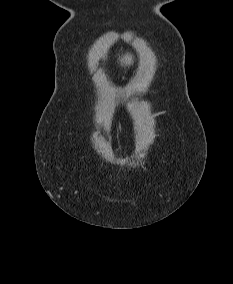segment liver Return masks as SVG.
<instances>
[{"instance_id":"obj_1","label":"liver","mask_w":233,"mask_h":284,"mask_svg":"<svg viewBox=\"0 0 233 284\" xmlns=\"http://www.w3.org/2000/svg\"><path fill=\"white\" fill-rule=\"evenodd\" d=\"M121 61H123L126 65L130 64L132 61V57L129 55H126L124 59H122Z\"/></svg>"}]
</instances>
